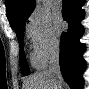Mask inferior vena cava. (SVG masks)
<instances>
[{
	"label": "inferior vena cava",
	"instance_id": "1",
	"mask_svg": "<svg viewBox=\"0 0 89 89\" xmlns=\"http://www.w3.org/2000/svg\"><path fill=\"white\" fill-rule=\"evenodd\" d=\"M50 75L61 78L60 66H59V47L56 46L50 56L49 69L47 71Z\"/></svg>",
	"mask_w": 89,
	"mask_h": 89
}]
</instances>
